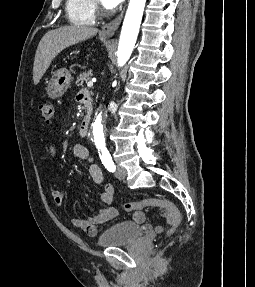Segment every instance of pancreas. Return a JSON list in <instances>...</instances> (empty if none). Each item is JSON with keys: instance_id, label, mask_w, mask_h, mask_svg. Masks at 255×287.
I'll use <instances>...</instances> for the list:
<instances>
[{"instance_id": "cf45deb5", "label": "pancreas", "mask_w": 255, "mask_h": 287, "mask_svg": "<svg viewBox=\"0 0 255 287\" xmlns=\"http://www.w3.org/2000/svg\"><path fill=\"white\" fill-rule=\"evenodd\" d=\"M92 76V70H89V72H82V74H79V78H77L75 84H78V86H83L85 82L92 80Z\"/></svg>"}]
</instances>
